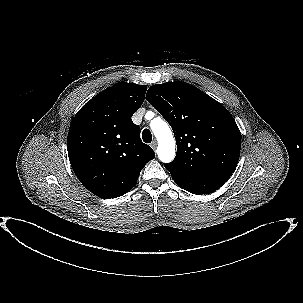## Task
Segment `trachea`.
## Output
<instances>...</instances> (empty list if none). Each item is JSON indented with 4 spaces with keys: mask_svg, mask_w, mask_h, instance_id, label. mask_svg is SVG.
<instances>
[{
    "mask_svg": "<svg viewBox=\"0 0 303 303\" xmlns=\"http://www.w3.org/2000/svg\"><path fill=\"white\" fill-rule=\"evenodd\" d=\"M142 139L145 143H151L152 141V134L150 130L144 129L142 132Z\"/></svg>",
    "mask_w": 303,
    "mask_h": 303,
    "instance_id": "trachea-1",
    "label": "trachea"
}]
</instances>
